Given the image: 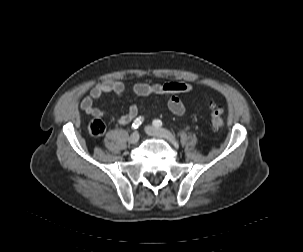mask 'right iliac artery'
<instances>
[{
	"label": "right iliac artery",
	"mask_w": 303,
	"mask_h": 252,
	"mask_svg": "<svg viewBox=\"0 0 303 252\" xmlns=\"http://www.w3.org/2000/svg\"><path fill=\"white\" fill-rule=\"evenodd\" d=\"M143 121V118L139 117L132 123V129H137Z\"/></svg>",
	"instance_id": "82829eb1"
}]
</instances>
